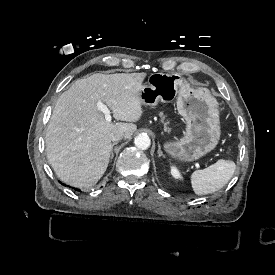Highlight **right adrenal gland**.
I'll list each match as a JSON object with an SVG mask.
<instances>
[{"mask_svg":"<svg viewBox=\"0 0 275 275\" xmlns=\"http://www.w3.org/2000/svg\"><path fill=\"white\" fill-rule=\"evenodd\" d=\"M115 145H116V142H114V143L112 144V149H111V153H110L111 159L114 158L113 148H114Z\"/></svg>","mask_w":275,"mask_h":275,"instance_id":"obj_1","label":"right adrenal gland"}]
</instances>
